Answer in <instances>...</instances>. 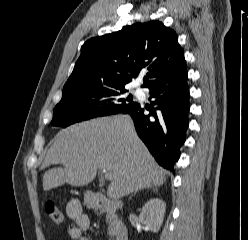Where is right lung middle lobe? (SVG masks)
I'll use <instances>...</instances> for the list:
<instances>
[{
    "label": "right lung middle lobe",
    "mask_w": 248,
    "mask_h": 240,
    "mask_svg": "<svg viewBox=\"0 0 248 240\" xmlns=\"http://www.w3.org/2000/svg\"><path fill=\"white\" fill-rule=\"evenodd\" d=\"M121 89L82 88L64 89L61 101L55 106L51 125L67 127L95 117L117 114L136 104L132 95L125 97Z\"/></svg>",
    "instance_id": "right-lung-middle-lobe-1"
}]
</instances>
